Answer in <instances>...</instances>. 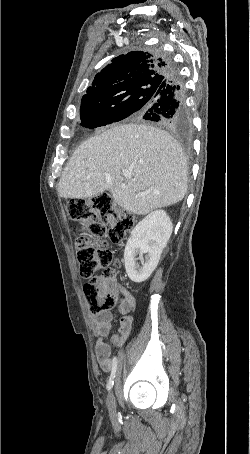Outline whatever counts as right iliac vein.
<instances>
[{"label": "right iliac vein", "mask_w": 250, "mask_h": 454, "mask_svg": "<svg viewBox=\"0 0 250 454\" xmlns=\"http://www.w3.org/2000/svg\"><path fill=\"white\" fill-rule=\"evenodd\" d=\"M107 404H108V407L111 410V412H114L115 411V398L112 393H110L108 395Z\"/></svg>", "instance_id": "right-iliac-vein-1"}]
</instances>
